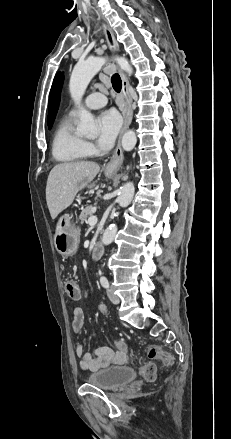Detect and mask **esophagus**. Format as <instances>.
<instances>
[{
	"label": "esophagus",
	"instance_id": "obj_1",
	"mask_svg": "<svg viewBox=\"0 0 231 439\" xmlns=\"http://www.w3.org/2000/svg\"><path fill=\"white\" fill-rule=\"evenodd\" d=\"M102 27H103V32H104L106 42L108 44L109 49L111 50V52L113 54H117L119 51V46H118V43L115 39L114 33L109 29V27L107 25L103 24ZM118 71H119V74H120V77L122 80V92H123V95H124V98L126 101V107H125V110L123 112L124 125L122 127L121 132H120L117 146L115 148V151H114L110 161L105 166V171L109 172V173H116L122 165L124 156H123V151L121 148V137H122L123 133L129 128L131 121H132V115H133L132 98H131L130 93H129V83H128L127 77L121 69H119Z\"/></svg>",
	"mask_w": 231,
	"mask_h": 439
}]
</instances>
